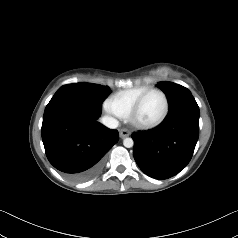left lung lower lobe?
I'll return each mask as SVG.
<instances>
[{"label":"left lung lower lobe","instance_id":"0a47b994","mask_svg":"<svg viewBox=\"0 0 238 238\" xmlns=\"http://www.w3.org/2000/svg\"><path fill=\"white\" fill-rule=\"evenodd\" d=\"M199 114L194 97L188 96L171 106L159 126L132 134L134 159L146 175L163 180L186 167L199 137Z\"/></svg>","mask_w":238,"mask_h":238}]
</instances>
